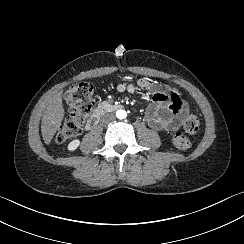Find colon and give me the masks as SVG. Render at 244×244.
<instances>
[{"instance_id": "colon-1", "label": "colon", "mask_w": 244, "mask_h": 244, "mask_svg": "<svg viewBox=\"0 0 244 244\" xmlns=\"http://www.w3.org/2000/svg\"><path fill=\"white\" fill-rule=\"evenodd\" d=\"M94 88L89 82H76L65 93V103L70 110L65 114L64 121L59 128L55 141L64 143L76 136L81 126L94 106ZM200 123L197 117L189 115L178 131L172 134L171 139L175 147L188 150L192 146L191 137L197 133Z\"/></svg>"}]
</instances>
